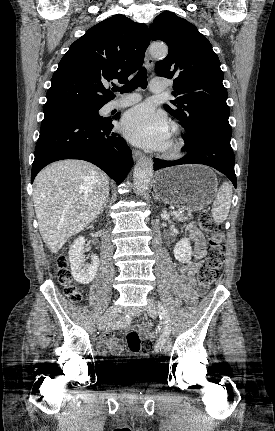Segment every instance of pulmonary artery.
Returning a JSON list of instances; mask_svg holds the SVG:
<instances>
[{"label":"pulmonary artery","mask_w":275,"mask_h":431,"mask_svg":"<svg viewBox=\"0 0 275 431\" xmlns=\"http://www.w3.org/2000/svg\"><path fill=\"white\" fill-rule=\"evenodd\" d=\"M150 90L154 93L163 92L165 90V84L163 81L155 79L150 84ZM140 99H141V97L139 95H136V94L128 95V96H125L121 99L111 101L107 105V108L109 110H113L116 108L127 107V106H130V105L137 103L138 101H140Z\"/></svg>","instance_id":"pulmonary-artery-1"}]
</instances>
